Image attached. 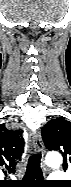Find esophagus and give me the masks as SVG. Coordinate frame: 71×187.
Segmentation results:
<instances>
[{
  "label": "esophagus",
  "mask_w": 71,
  "mask_h": 187,
  "mask_svg": "<svg viewBox=\"0 0 71 187\" xmlns=\"http://www.w3.org/2000/svg\"><path fill=\"white\" fill-rule=\"evenodd\" d=\"M31 148L36 153L44 152V145L40 132H35L31 139ZM43 165L45 166L44 162Z\"/></svg>",
  "instance_id": "1"
}]
</instances>
